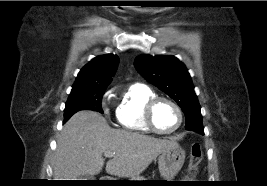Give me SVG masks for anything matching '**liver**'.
Instances as JSON below:
<instances>
[{"label":"liver","instance_id":"6515ba94","mask_svg":"<svg viewBox=\"0 0 267 186\" xmlns=\"http://www.w3.org/2000/svg\"><path fill=\"white\" fill-rule=\"evenodd\" d=\"M177 143L137 132L112 129L97 112L79 111L64 125L57 141L55 180H77L102 170L105 152H115L106 163L108 174L134 177L166 149Z\"/></svg>","mask_w":267,"mask_h":186}]
</instances>
